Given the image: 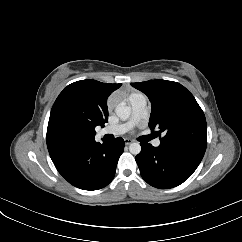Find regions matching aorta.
<instances>
[{"mask_svg": "<svg viewBox=\"0 0 242 242\" xmlns=\"http://www.w3.org/2000/svg\"><path fill=\"white\" fill-rule=\"evenodd\" d=\"M115 113L121 120H127L130 117L131 110L128 106L120 105L115 109ZM129 151L134 155L139 154L141 152L140 144L137 142L131 143L129 146Z\"/></svg>", "mask_w": 242, "mask_h": 242, "instance_id": "aorta-1", "label": "aorta"}]
</instances>
